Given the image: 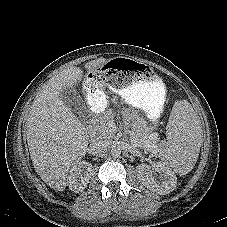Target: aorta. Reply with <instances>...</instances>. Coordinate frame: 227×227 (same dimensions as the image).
I'll return each instance as SVG.
<instances>
[{"instance_id": "1", "label": "aorta", "mask_w": 227, "mask_h": 227, "mask_svg": "<svg viewBox=\"0 0 227 227\" xmlns=\"http://www.w3.org/2000/svg\"><path fill=\"white\" fill-rule=\"evenodd\" d=\"M111 155H112V157H114V158L120 157V155H121V150H120V148H118V147H113V148L111 149Z\"/></svg>"}]
</instances>
